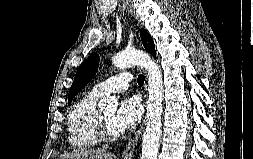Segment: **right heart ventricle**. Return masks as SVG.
Returning <instances> with one entry per match:
<instances>
[{
  "label": "right heart ventricle",
  "mask_w": 253,
  "mask_h": 159,
  "mask_svg": "<svg viewBox=\"0 0 253 159\" xmlns=\"http://www.w3.org/2000/svg\"><path fill=\"white\" fill-rule=\"evenodd\" d=\"M90 91L71 109L68 116L69 143L77 149H91L98 143L96 133L97 101L100 98Z\"/></svg>",
  "instance_id": "1"
}]
</instances>
